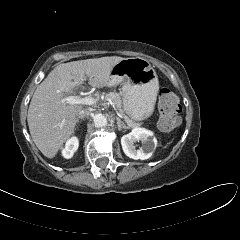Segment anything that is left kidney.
<instances>
[{"label": "left kidney", "instance_id": "1", "mask_svg": "<svg viewBox=\"0 0 240 240\" xmlns=\"http://www.w3.org/2000/svg\"><path fill=\"white\" fill-rule=\"evenodd\" d=\"M142 142L140 149H136L135 143ZM121 145L124 153L135 160H146L152 156L157 146V140L153 132L144 128H134L129 134L121 138Z\"/></svg>", "mask_w": 240, "mask_h": 240}]
</instances>
